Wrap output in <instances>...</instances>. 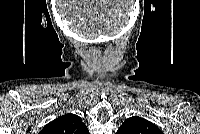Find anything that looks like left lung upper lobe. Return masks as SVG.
Instances as JSON below:
<instances>
[{"mask_svg": "<svg viewBox=\"0 0 200 134\" xmlns=\"http://www.w3.org/2000/svg\"><path fill=\"white\" fill-rule=\"evenodd\" d=\"M117 134H162V132L150 121L134 116L124 121Z\"/></svg>", "mask_w": 200, "mask_h": 134, "instance_id": "left-lung-upper-lobe-1", "label": "left lung upper lobe"}]
</instances>
